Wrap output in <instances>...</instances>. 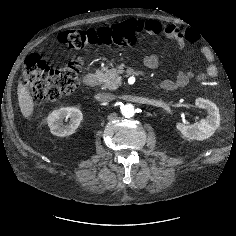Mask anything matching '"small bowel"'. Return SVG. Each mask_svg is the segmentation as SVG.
Here are the masks:
<instances>
[{"label":"small bowel","instance_id":"obj_1","mask_svg":"<svg viewBox=\"0 0 236 236\" xmlns=\"http://www.w3.org/2000/svg\"><path fill=\"white\" fill-rule=\"evenodd\" d=\"M143 26L148 34L154 36L164 35L165 37L173 40L180 49H183L186 45V33L174 24L164 25L157 20H147L143 23ZM190 38L195 40L194 35H191ZM202 54L207 62V66L202 73L195 76L192 72H180L175 80H164L161 83L162 89L166 91H173L178 88L185 87L193 78H196L198 81H204L208 78H215L218 71L214 65V59L211 51L207 48H203ZM159 60V55L154 53L147 55L144 58V63L147 67L154 68L159 64Z\"/></svg>","mask_w":236,"mask_h":236}]
</instances>
